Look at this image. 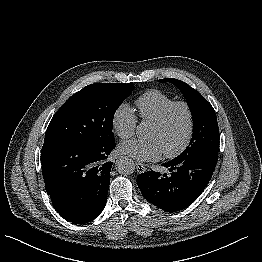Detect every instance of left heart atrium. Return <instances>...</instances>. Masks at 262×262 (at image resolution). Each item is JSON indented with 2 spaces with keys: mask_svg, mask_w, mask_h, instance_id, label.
<instances>
[{
  "mask_svg": "<svg viewBox=\"0 0 262 262\" xmlns=\"http://www.w3.org/2000/svg\"><path fill=\"white\" fill-rule=\"evenodd\" d=\"M118 150L138 161H155L164 153L155 138L127 140L119 145Z\"/></svg>",
  "mask_w": 262,
  "mask_h": 262,
  "instance_id": "left-heart-atrium-1",
  "label": "left heart atrium"
}]
</instances>
